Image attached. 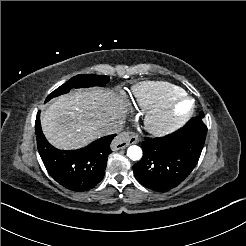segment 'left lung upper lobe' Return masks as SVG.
<instances>
[{
  "instance_id": "5c2ea615",
  "label": "left lung upper lobe",
  "mask_w": 246,
  "mask_h": 246,
  "mask_svg": "<svg viewBox=\"0 0 246 246\" xmlns=\"http://www.w3.org/2000/svg\"><path fill=\"white\" fill-rule=\"evenodd\" d=\"M200 119H202L203 120V118H204V114H203V112H201L200 113V115L198 116Z\"/></svg>"
}]
</instances>
